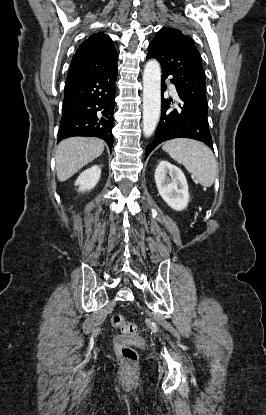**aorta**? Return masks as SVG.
Instances as JSON below:
<instances>
[{
	"label": "aorta",
	"instance_id": "762f6f07",
	"mask_svg": "<svg viewBox=\"0 0 266 415\" xmlns=\"http://www.w3.org/2000/svg\"><path fill=\"white\" fill-rule=\"evenodd\" d=\"M161 112V67L149 60L143 73V134L150 137L158 124Z\"/></svg>",
	"mask_w": 266,
	"mask_h": 415
}]
</instances>
